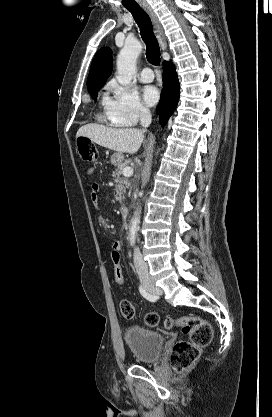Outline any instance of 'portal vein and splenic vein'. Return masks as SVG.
I'll use <instances>...</instances> for the list:
<instances>
[{"instance_id":"portal-vein-and-splenic-vein-1","label":"portal vein and splenic vein","mask_w":272,"mask_h":417,"mask_svg":"<svg viewBox=\"0 0 272 417\" xmlns=\"http://www.w3.org/2000/svg\"><path fill=\"white\" fill-rule=\"evenodd\" d=\"M123 175L124 176H132L133 175V169L131 168V167H125L124 169H123Z\"/></svg>"}]
</instances>
